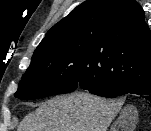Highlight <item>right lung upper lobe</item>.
Here are the masks:
<instances>
[{
  "label": "right lung upper lobe",
  "instance_id": "obj_1",
  "mask_svg": "<svg viewBox=\"0 0 151 131\" xmlns=\"http://www.w3.org/2000/svg\"><path fill=\"white\" fill-rule=\"evenodd\" d=\"M76 43L108 84L151 81V32L135 0H87L54 25L37 48Z\"/></svg>",
  "mask_w": 151,
  "mask_h": 131
}]
</instances>
